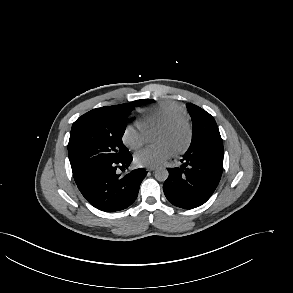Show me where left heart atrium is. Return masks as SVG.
I'll return each instance as SVG.
<instances>
[{
	"mask_svg": "<svg viewBox=\"0 0 293 293\" xmlns=\"http://www.w3.org/2000/svg\"><path fill=\"white\" fill-rule=\"evenodd\" d=\"M173 153V148L168 143L162 142L138 151L134 161L140 167H155L164 163Z\"/></svg>",
	"mask_w": 293,
	"mask_h": 293,
	"instance_id": "left-heart-atrium-1",
	"label": "left heart atrium"
}]
</instances>
